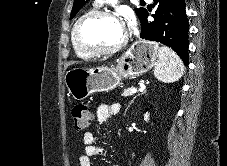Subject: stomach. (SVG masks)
Masks as SVG:
<instances>
[{
    "label": "stomach",
    "mask_w": 227,
    "mask_h": 166,
    "mask_svg": "<svg viewBox=\"0 0 227 166\" xmlns=\"http://www.w3.org/2000/svg\"><path fill=\"white\" fill-rule=\"evenodd\" d=\"M159 46L151 41H137L118 59L115 67H74L64 77L69 94L83 100L95 92L116 88L122 78H134L148 72L158 57Z\"/></svg>",
    "instance_id": "0dacf381"
}]
</instances>
